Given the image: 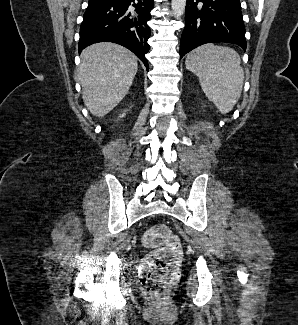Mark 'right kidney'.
<instances>
[{
	"instance_id": "1",
	"label": "right kidney",
	"mask_w": 298,
	"mask_h": 325,
	"mask_svg": "<svg viewBox=\"0 0 298 325\" xmlns=\"http://www.w3.org/2000/svg\"><path fill=\"white\" fill-rule=\"evenodd\" d=\"M120 116H125V112H123V114H120Z\"/></svg>"
}]
</instances>
